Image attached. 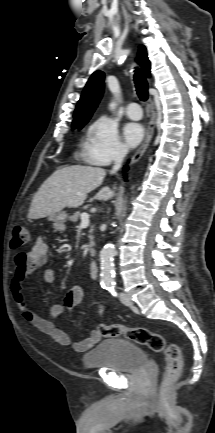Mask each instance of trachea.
I'll list each match as a JSON object with an SVG mask.
<instances>
[{"instance_id": "obj_1", "label": "trachea", "mask_w": 215, "mask_h": 433, "mask_svg": "<svg viewBox=\"0 0 215 433\" xmlns=\"http://www.w3.org/2000/svg\"><path fill=\"white\" fill-rule=\"evenodd\" d=\"M134 82L140 100L146 101L148 99V83L141 69L135 70Z\"/></svg>"}]
</instances>
